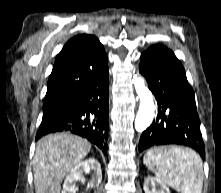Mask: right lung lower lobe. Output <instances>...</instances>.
<instances>
[{
	"mask_svg": "<svg viewBox=\"0 0 221 193\" xmlns=\"http://www.w3.org/2000/svg\"><path fill=\"white\" fill-rule=\"evenodd\" d=\"M108 103L109 75L106 61L70 99L68 111L41 123L36 140L49 133L67 131L87 138L106 154Z\"/></svg>",
	"mask_w": 221,
	"mask_h": 193,
	"instance_id": "1",
	"label": "right lung lower lobe"
}]
</instances>
